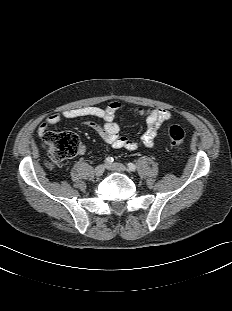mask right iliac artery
I'll return each mask as SVG.
<instances>
[{"instance_id":"right-iliac-artery-1","label":"right iliac artery","mask_w":232,"mask_h":311,"mask_svg":"<svg viewBox=\"0 0 232 311\" xmlns=\"http://www.w3.org/2000/svg\"><path fill=\"white\" fill-rule=\"evenodd\" d=\"M113 161H114L113 157H107V158L105 159V163H106V164H111Z\"/></svg>"}]
</instances>
